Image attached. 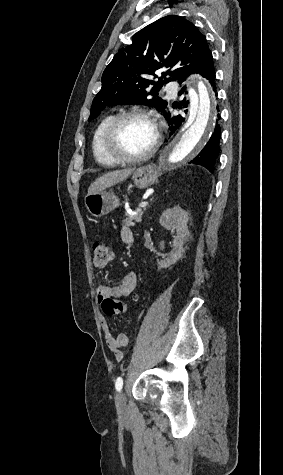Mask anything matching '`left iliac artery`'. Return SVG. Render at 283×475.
<instances>
[{
  "instance_id": "1",
  "label": "left iliac artery",
  "mask_w": 283,
  "mask_h": 475,
  "mask_svg": "<svg viewBox=\"0 0 283 475\" xmlns=\"http://www.w3.org/2000/svg\"><path fill=\"white\" fill-rule=\"evenodd\" d=\"M122 386H123V379L121 377H118L115 383V387L117 391H120L122 389Z\"/></svg>"
}]
</instances>
